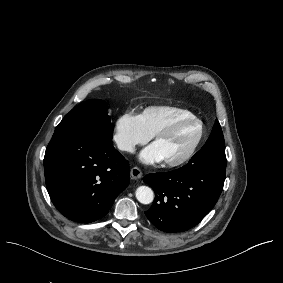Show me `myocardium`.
I'll list each match as a JSON object with an SVG mask.
<instances>
[{
  "label": "myocardium",
  "mask_w": 283,
  "mask_h": 283,
  "mask_svg": "<svg viewBox=\"0 0 283 283\" xmlns=\"http://www.w3.org/2000/svg\"><path fill=\"white\" fill-rule=\"evenodd\" d=\"M189 121H193V122H196L198 124V131H197L196 137H195L192 145L188 149V151L181 158H179L177 160H165V164L168 167L183 166L186 163H188L194 157V155L197 153L199 147L201 146L202 141H203L204 136H205L204 122L199 117H197L195 115L182 116V117L176 119L167 128H165L164 130L157 133L156 136H155L156 141L170 138L171 136H173L175 134L177 129L182 124L189 122Z\"/></svg>",
  "instance_id": "obj_1"
}]
</instances>
